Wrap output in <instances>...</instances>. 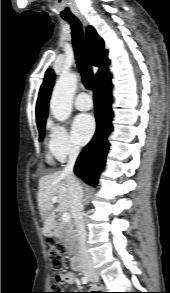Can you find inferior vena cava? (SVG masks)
I'll return each mask as SVG.
<instances>
[{
  "instance_id": "602c4592",
  "label": "inferior vena cava",
  "mask_w": 170,
  "mask_h": 293,
  "mask_svg": "<svg viewBox=\"0 0 170 293\" xmlns=\"http://www.w3.org/2000/svg\"><path fill=\"white\" fill-rule=\"evenodd\" d=\"M80 149L72 146L69 151V160L63 170V175L67 178L68 189L71 196L72 215L75 221L78 248L81 256L83 270H93V262L86 245V229L83 218V189L73 173V168Z\"/></svg>"
}]
</instances>
